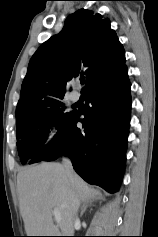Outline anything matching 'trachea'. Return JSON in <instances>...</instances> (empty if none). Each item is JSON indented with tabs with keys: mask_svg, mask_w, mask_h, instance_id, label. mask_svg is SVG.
<instances>
[{
	"mask_svg": "<svg viewBox=\"0 0 158 237\" xmlns=\"http://www.w3.org/2000/svg\"><path fill=\"white\" fill-rule=\"evenodd\" d=\"M81 84H84V80H80Z\"/></svg>",
	"mask_w": 158,
	"mask_h": 237,
	"instance_id": "obj_1",
	"label": "trachea"
}]
</instances>
